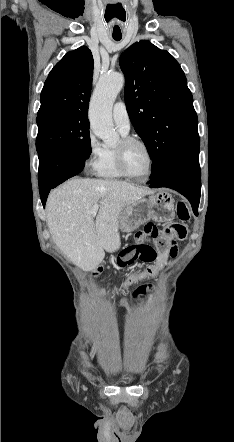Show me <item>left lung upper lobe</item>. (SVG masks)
I'll return each instance as SVG.
<instances>
[{
  "label": "left lung upper lobe",
  "instance_id": "1",
  "mask_svg": "<svg viewBox=\"0 0 234 442\" xmlns=\"http://www.w3.org/2000/svg\"><path fill=\"white\" fill-rule=\"evenodd\" d=\"M125 75V103L135 131L158 176L178 147L198 134L193 97L179 63L146 40L136 42L119 59Z\"/></svg>",
  "mask_w": 234,
  "mask_h": 442
}]
</instances>
